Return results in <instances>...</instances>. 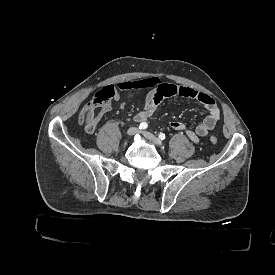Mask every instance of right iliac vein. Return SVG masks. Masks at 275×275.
<instances>
[{"label":"right iliac vein","instance_id":"1","mask_svg":"<svg viewBox=\"0 0 275 275\" xmlns=\"http://www.w3.org/2000/svg\"><path fill=\"white\" fill-rule=\"evenodd\" d=\"M139 132V130H138V128L137 127H130L128 130H127V135L129 136V137H132V136H134L136 133H138Z\"/></svg>","mask_w":275,"mask_h":275}]
</instances>
